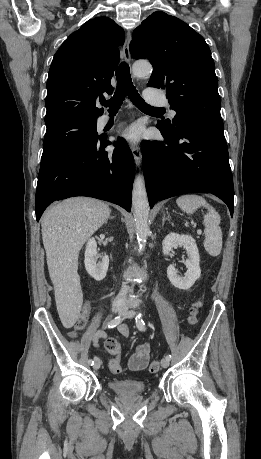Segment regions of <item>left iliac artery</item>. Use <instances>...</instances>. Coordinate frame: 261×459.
<instances>
[{
    "label": "left iliac artery",
    "mask_w": 261,
    "mask_h": 459,
    "mask_svg": "<svg viewBox=\"0 0 261 459\" xmlns=\"http://www.w3.org/2000/svg\"><path fill=\"white\" fill-rule=\"evenodd\" d=\"M136 326L140 331H145V329H146L145 322L142 319V314L141 313L136 317ZM166 358H168L170 360L171 355H166Z\"/></svg>",
    "instance_id": "1"
}]
</instances>
